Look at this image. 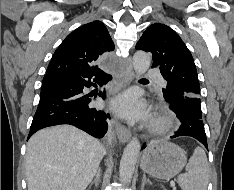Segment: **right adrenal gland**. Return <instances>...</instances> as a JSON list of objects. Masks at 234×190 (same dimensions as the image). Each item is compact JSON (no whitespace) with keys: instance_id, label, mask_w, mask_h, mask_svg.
I'll list each match as a JSON object with an SVG mask.
<instances>
[{"instance_id":"1","label":"right adrenal gland","mask_w":234,"mask_h":190,"mask_svg":"<svg viewBox=\"0 0 234 190\" xmlns=\"http://www.w3.org/2000/svg\"><path fill=\"white\" fill-rule=\"evenodd\" d=\"M100 178H101V171L98 170V171L96 172L95 179H94V180L90 183V185H89V189L91 188V186H92L93 184H95V187H98L99 182H100Z\"/></svg>"}]
</instances>
